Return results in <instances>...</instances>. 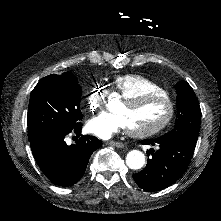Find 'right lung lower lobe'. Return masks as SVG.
<instances>
[{
  "label": "right lung lower lobe",
  "mask_w": 221,
  "mask_h": 221,
  "mask_svg": "<svg viewBox=\"0 0 221 221\" xmlns=\"http://www.w3.org/2000/svg\"><path fill=\"white\" fill-rule=\"evenodd\" d=\"M81 128L80 123L71 132L44 134L30 141L38 166L58 186L68 187L78 182L91 154L102 146V142L94 136H81L76 144L68 146L64 141L65 136L72 132L79 135Z\"/></svg>",
  "instance_id": "obj_1"
}]
</instances>
